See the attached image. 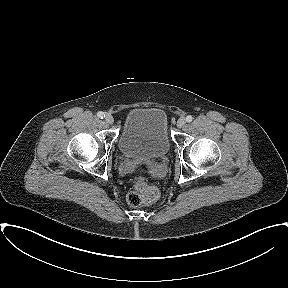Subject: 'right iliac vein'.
<instances>
[{
  "label": "right iliac vein",
  "instance_id": "obj_1",
  "mask_svg": "<svg viewBox=\"0 0 288 288\" xmlns=\"http://www.w3.org/2000/svg\"><path fill=\"white\" fill-rule=\"evenodd\" d=\"M105 121H106L107 123H109V124H112V123L114 122V118H113L112 115L106 114V115H105Z\"/></svg>",
  "mask_w": 288,
  "mask_h": 288
}]
</instances>
